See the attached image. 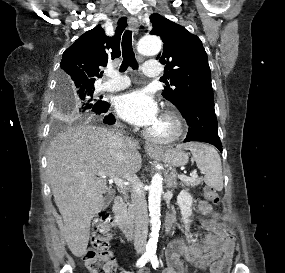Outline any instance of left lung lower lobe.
Here are the masks:
<instances>
[{
    "label": "left lung lower lobe",
    "mask_w": 285,
    "mask_h": 273,
    "mask_svg": "<svg viewBox=\"0 0 285 273\" xmlns=\"http://www.w3.org/2000/svg\"><path fill=\"white\" fill-rule=\"evenodd\" d=\"M189 125L184 142L202 141L216 146L222 152L214 102L192 103L179 109Z\"/></svg>",
    "instance_id": "0a47b994"
}]
</instances>
